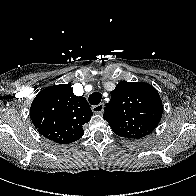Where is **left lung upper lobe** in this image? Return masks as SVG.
Here are the masks:
<instances>
[{
	"label": "left lung upper lobe",
	"mask_w": 196,
	"mask_h": 196,
	"mask_svg": "<svg viewBox=\"0 0 196 196\" xmlns=\"http://www.w3.org/2000/svg\"><path fill=\"white\" fill-rule=\"evenodd\" d=\"M103 114L113 132L143 138L158 126L163 105L157 90L145 82H119Z\"/></svg>",
	"instance_id": "obj_1"
}]
</instances>
